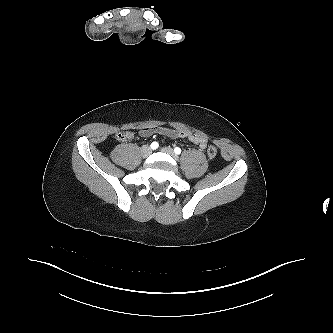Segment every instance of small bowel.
Masks as SVG:
<instances>
[{"label":"small bowel","mask_w":333,"mask_h":333,"mask_svg":"<svg viewBox=\"0 0 333 333\" xmlns=\"http://www.w3.org/2000/svg\"><path fill=\"white\" fill-rule=\"evenodd\" d=\"M154 133L165 135V136H168L171 138L187 139L188 141L192 142L193 144L199 146L201 149H205L207 146L206 138L192 134L187 131L172 129V128L163 127V126L144 127L142 129H140V135L144 136V137L150 136Z\"/></svg>","instance_id":"small-bowel-1"}]
</instances>
